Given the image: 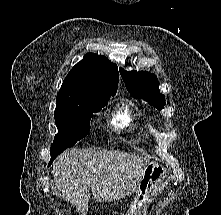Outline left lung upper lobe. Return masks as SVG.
Listing matches in <instances>:
<instances>
[{"label":"left lung upper lobe","mask_w":221,"mask_h":215,"mask_svg":"<svg viewBox=\"0 0 221 215\" xmlns=\"http://www.w3.org/2000/svg\"><path fill=\"white\" fill-rule=\"evenodd\" d=\"M120 73L132 96L146 100L155 108H164L165 97L159 92V82L156 75L145 71L127 72L122 68H120Z\"/></svg>","instance_id":"obj_1"}]
</instances>
